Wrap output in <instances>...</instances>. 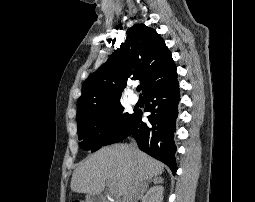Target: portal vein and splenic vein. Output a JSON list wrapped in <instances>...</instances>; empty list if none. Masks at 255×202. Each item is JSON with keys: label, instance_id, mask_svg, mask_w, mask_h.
Listing matches in <instances>:
<instances>
[{"label": "portal vein and splenic vein", "instance_id": "1", "mask_svg": "<svg viewBox=\"0 0 255 202\" xmlns=\"http://www.w3.org/2000/svg\"><path fill=\"white\" fill-rule=\"evenodd\" d=\"M108 184L110 185V192L111 194H116V189L114 187V184L112 182H108Z\"/></svg>", "mask_w": 255, "mask_h": 202}]
</instances>
